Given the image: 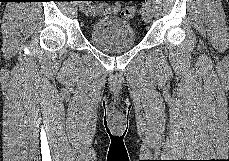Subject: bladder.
<instances>
[{"label": "bladder", "instance_id": "bladder-1", "mask_svg": "<svg viewBox=\"0 0 229 161\" xmlns=\"http://www.w3.org/2000/svg\"><path fill=\"white\" fill-rule=\"evenodd\" d=\"M90 41L104 51H120L134 47L136 34L130 23L117 16L97 19L89 32Z\"/></svg>", "mask_w": 229, "mask_h": 161}]
</instances>
